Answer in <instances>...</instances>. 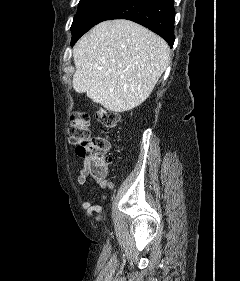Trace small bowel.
I'll return each mask as SVG.
<instances>
[{
  "label": "small bowel",
  "mask_w": 240,
  "mask_h": 281,
  "mask_svg": "<svg viewBox=\"0 0 240 281\" xmlns=\"http://www.w3.org/2000/svg\"><path fill=\"white\" fill-rule=\"evenodd\" d=\"M87 166L88 162L87 160H84L83 168L80 170L77 177V182L80 185L85 184L91 178L99 187L103 189L112 190L114 188V183L107 179L106 173L102 176L94 175L87 170ZM104 198H106V195H104ZM82 207L89 211L91 214H100L103 211L101 206L94 204L92 201L82 203Z\"/></svg>",
  "instance_id": "c3829d8e"
}]
</instances>
